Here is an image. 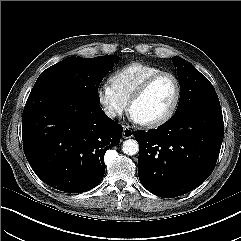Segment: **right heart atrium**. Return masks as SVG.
Instances as JSON below:
<instances>
[{"mask_svg":"<svg viewBox=\"0 0 241 241\" xmlns=\"http://www.w3.org/2000/svg\"><path fill=\"white\" fill-rule=\"evenodd\" d=\"M98 102L110 119L122 116L128 109V102L115 90L111 83H104L97 89Z\"/></svg>","mask_w":241,"mask_h":241,"instance_id":"obj_1","label":"right heart atrium"}]
</instances>
